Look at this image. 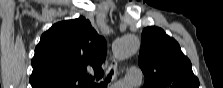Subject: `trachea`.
Returning <instances> with one entry per match:
<instances>
[{
	"instance_id": "1",
	"label": "trachea",
	"mask_w": 223,
	"mask_h": 88,
	"mask_svg": "<svg viewBox=\"0 0 223 88\" xmlns=\"http://www.w3.org/2000/svg\"><path fill=\"white\" fill-rule=\"evenodd\" d=\"M112 74H113V70H111L110 74L107 76V78L105 79V81H104V82H101V83L99 84V86H100L101 88H106L107 84H108V83L110 82V80H111ZM97 86H98V84H96V83H91V84H90V87H91V88H96Z\"/></svg>"
}]
</instances>
